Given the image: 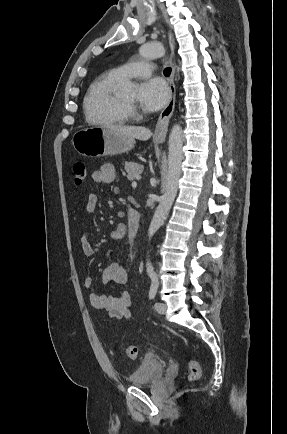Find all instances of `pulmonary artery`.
<instances>
[{
	"mask_svg": "<svg viewBox=\"0 0 287 434\" xmlns=\"http://www.w3.org/2000/svg\"><path fill=\"white\" fill-rule=\"evenodd\" d=\"M153 69V64L148 61L132 62L117 68L120 75L125 79L148 77Z\"/></svg>",
	"mask_w": 287,
	"mask_h": 434,
	"instance_id": "1",
	"label": "pulmonary artery"
}]
</instances>
